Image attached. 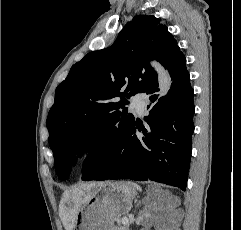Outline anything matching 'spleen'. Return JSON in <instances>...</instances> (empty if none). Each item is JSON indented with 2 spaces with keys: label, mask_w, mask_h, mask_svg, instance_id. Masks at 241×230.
Here are the masks:
<instances>
[{
  "label": "spleen",
  "mask_w": 241,
  "mask_h": 230,
  "mask_svg": "<svg viewBox=\"0 0 241 230\" xmlns=\"http://www.w3.org/2000/svg\"><path fill=\"white\" fill-rule=\"evenodd\" d=\"M132 185H133V187H135L136 189L141 190L140 186H138L137 184L132 183Z\"/></svg>",
  "instance_id": "obj_1"
}]
</instances>
